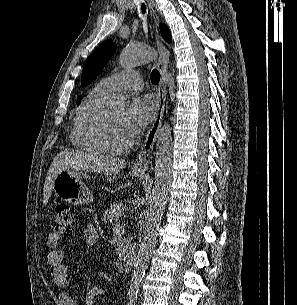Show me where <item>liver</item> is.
<instances>
[{"label":"liver","instance_id":"6515ba94","mask_svg":"<svg viewBox=\"0 0 297 305\" xmlns=\"http://www.w3.org/2000/svg\"><path fill=\"white\" fill-rule=\"evenodd\" d=\"M125 166L126 162L119 159L82 152L62 151L55 156L47 172L43 190V204L44 206L47 205L52 192L53 180L64 169L115 175L123 170Z\"/></svg>","mask_w":297,"mask_h":305}]
</instances>
